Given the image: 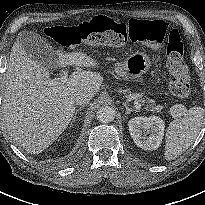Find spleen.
<instances>
[{
    "label": "spleen",
    "mask_w": 205,
    "mask_h": 205,
    "mask_svg": "<svg viewBox=\"0 0 205 205\" xmlns=\"http://www.w3.org/2000/svg\"><path fill=\"white\" fill-rule=\"evenodd\" d=\"M205 110L192 107L180 119L172 121L166 132L165 159H176L185 152L200 132Z\"/></svg>",
    "instance_id": "obj_1"
}]
</instances>
